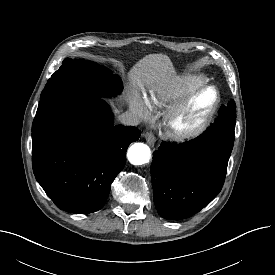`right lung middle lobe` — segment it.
<instances>
[{
	"mask_svg": "<svg viewBox=\"0 0 275 275\" xmlns=\"http://www.w3.org/2000/svg\"><path fill=\"white\" fill-rule=\"evenodd\" d=\"M121 91L120 78L112 75L107 68H101L91 61L66 58L43 89L37 113L46 109L63 94L110 97Z\"/></svg>",
	"mask_w": 275,
	"mask_h": 275,
	"instance_id": "obj_1",
	"label": "right lung middle lobe"
}]
</instances>
